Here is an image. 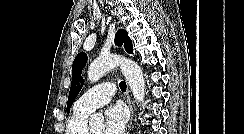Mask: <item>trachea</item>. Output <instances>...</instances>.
Returning a JSON list of instances; mask_svg holds the SVG:
<instances>
[{
	"label": "trachea",
	"mask_w": 244,
	"mask_h": 134,
	"mask_svg": "<svg viewBox=\"0 0 244 134\" xmlns=\"http://www.w3.org/2000/svg\"><path fill=\"white\" fill-rule=\"evenodd\" d=\"M119 87H120L122 92H125L126 88H127L126 82L125 81H121L120 84H119Z\"/></svg>",
	"instance_id": "1"
}]
</instances>
